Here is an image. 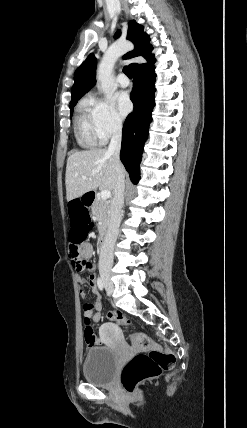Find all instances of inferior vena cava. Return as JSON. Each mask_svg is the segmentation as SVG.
<instances>
[{
    "label": "inferior vena cava",
    "instance_id": "1",
    "mask_svg": "<svg viewBox=\"0 0 247 428\" xmlns=\"http://www.w3.org/2000/svg\"><path fill=\"white\" fill-rule=\"evenodd\" d=\"M122 138V124L117 122L113 126V134L107 152L115 159L116 183L114 188V198L111 204V215L107 234L104 238L100 258L99 268H111L113 264V251L119 233V226L122 218V208L124 205L125 175L120 162V149Z\"/></svg>",
    "mask_w": 247,
    "mask_h": 428
}]
</instances>
